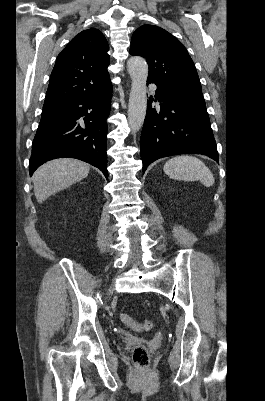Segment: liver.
Segmentation results:
<instances>
[{
  "label": "liver",
  "instance_id": "obj_1",
  "mask_svg": "<svg viewBox=\"0 0 265 401\" xmlns=\"http://www.w3.org/2000/svg\"><path fill=\"white\" fill-rule=\"evenodd\" d=\"M89 168L90 164L76 158H56L39 166L32 176L37 203L41 205L54 192L86 178Z\"/></svg>",
  "mask_w": 265,
  "mask_h": 401
}]
</instances>
